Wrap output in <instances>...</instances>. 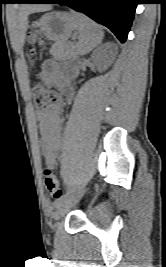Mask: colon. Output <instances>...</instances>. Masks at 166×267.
<instances>
[{"label": "colon", "instance_id": "obj_1", "mask_svg": "<svg viewBox=\"0 0 166 267\" xmlns=\"http://www.w3.org/2000/svg\"><path fill=\"white\" fill-rule=\"evenodd\" d=\"M29 41L32 45L31 49L33 51V45L38 42L37 36L34 33H30ZM32 94L35 102V106L39 110H45L57 102V92L53 89L47 88L40 82H36L32 86ZM44 185L47 192L54 198L59 199L62 195V190L59 186V181L56 175L51 169H45L44 171Z\"/></svg>", "mask_w": 166, "mask_h": 267}]
</instances>
